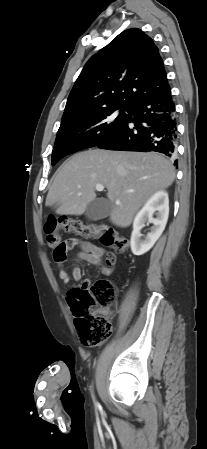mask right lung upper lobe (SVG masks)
<instances>
[{
  "label": "right lung upper lobe",
  "mask_w": 207,
  "mask_h": 449,
  "mask_svg": "<svg viewBox=\"0 0 207 449\" xmlns=\"http://www.w3.org/2000/svg\"><path fill=\"white\" fill-rule=\"evenodd\" d=\"M170 89L153 40L139 29L120 33L85 64L62 120L111 107L132 108Z\"/></svg>",
  "instance_id": "cb5924a9"
}]
</instances>
